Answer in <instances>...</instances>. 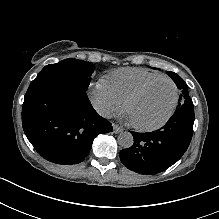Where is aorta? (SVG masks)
I'll return each mask as SVG.
<instances>
[{"label":"aorta","instance_id":"aorta-1","mask_svg":"<svg viewBox=\"0 0 219 219\" xmlns=\"http://www.w3.org/2000/svg\"><path fill=\"white\" fill-rule=\"evenodd\" d=\"M117 142L123 148H130L134 143V139L131 133L122 132L118 135Z\"/></svg>","mask_w":219,"mask_h":219}]
</instances>
